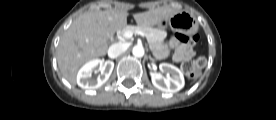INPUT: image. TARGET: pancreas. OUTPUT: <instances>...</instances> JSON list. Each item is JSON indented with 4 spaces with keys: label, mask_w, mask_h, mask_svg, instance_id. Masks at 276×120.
<instances>
[{
    "label": "pancreas",
    "mask_w": 276,
    "mask_h": 120,
    "mask_svg": "<svg viewBox=\"0 0 276 120\" xmlns=\"http://www.w3.org/2000/svg\"><path fill=\"white\" fill-rule=\"evenodd\" d=\"M140 30L144 32L145 37L147 38V41L152 49V51L155 53L157 50V46L163 42L164 38L166 37V32L160 29H155L151 27L146 26H127L123 28L119 34L121 36L124 35L126 31H136Z\"/></svg>",
    "instance_id": "1"
}]
</instances>
